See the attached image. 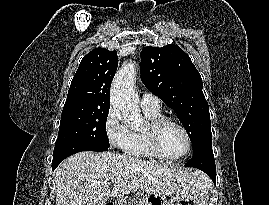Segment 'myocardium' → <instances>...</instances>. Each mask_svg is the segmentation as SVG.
I'll use <instances>...</instances> for the list:
<instances>
[{
	"mask_svg": "<svg viewBox=\"0 0 269 205\" xmlns=\"http://www.w3.org/2000/svg\"><path fill=\"white\" fill-rule=\"evenodd\" d=\"M169 124L175 125L178 128H180L187 140V149L186 151L177 157H171L166 155L160 146V134L163 128ZM145 133V138L147 145L150 149V151L153 153V155L157 158H160L162 160H167V161H178L181 160L185 157H187L191 150H192V138L189 130L186 128V126L181 123L179 120L172 118V117H167V116H161L158 119L152 121L147 129L144 131Z\"/></svg>",
	"mask_w": 269,
	"mask_h": 205,
	"instance_id": "obj_1",
	"label": "myocardium"
}]
</instances>
